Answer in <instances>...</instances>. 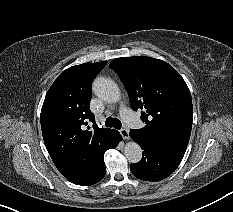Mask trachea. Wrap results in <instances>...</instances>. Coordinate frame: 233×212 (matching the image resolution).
<instances>
[{
    "label": "trachea",
    "instance_id": "trachea-1",
    "mask_svg": "<svg viewBox=\"0 0 233 212\" xmlns=\"http://www.w3.org/2000/svg\"><path fill=\"white\" fill-rule=\"evenodd\" d=\"M105 126L106 127H114L116 129H121L122 127V123L119 119L117 118H112V117H108L105 121Z\"/></svg>",
    "mask_w": 233,
    "mask_h": 212
}]
</instances>
